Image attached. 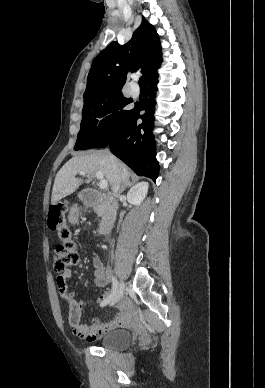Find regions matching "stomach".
I'll list each match as a JSON object with an SVG mask.
<instances>
[{
  "label": "stomach",
  "instance_id": "1",
  "mask_svg": "<svg viewBox=\"0 0 265 388\" xmlns=\"http://www.w3.org/2000/svg\"><path fill=\"white\" fill-rule=\"evenodd\" d=\"M77 216H78V209H77L76 206H73V207L71 208V210H70V216H69V217H70L71 219H76Z\"/></svg>",
  "mask_w": 265,
  "mask_h": 388
}]
</instances>
